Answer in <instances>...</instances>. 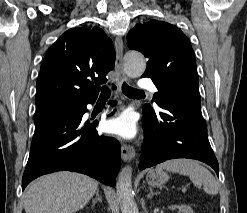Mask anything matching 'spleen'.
<instances>
[{
  "label": "spleen",
  "mask_w": 247,
  "mask_h": 213,
  "mask_svg": "<svg viewBox=\"0 0 247 213\" xmlns=\"http://www.w3.org/2000/svg\"><path fill=\"white\" fill-rule=\"evenodd\" d=\"M156 170H167L189 176L196 185H203L204 191L209 195H216L219 191V183L205 167L190 159L180 158L163 162L157 165Z\"/></svg>",
  "instance_id": "spleen-1"
}]
</instances>
